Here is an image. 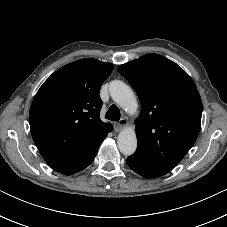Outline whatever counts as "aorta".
Instances as JSON below:
<instances>
[{
    "mask_svg": "<svg viewBox=\"0 0 227 227\" xmlns=\"http://www.w3.org/2000/svg\"><path fill=\"white\" fill-rule=\"evenodd\" d=\"M112 99L126 112L134 114L137 111V100L132 89L120 80H114L109 85ZM120 152L132 155L137 149V137L132 127L123 129L117 139Z\"/></svg>",
    "mask_w": 227,
    "mask_h": 227,
    "instance_id": "1",
    "label": "aorta"
}]
</instances>
